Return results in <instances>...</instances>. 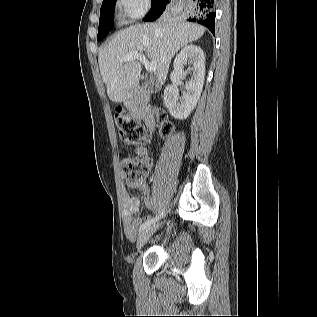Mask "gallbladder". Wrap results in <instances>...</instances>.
<instances>
[{
  "mask_svg": "<svg viewBox=\"0 0 317 317\" xmlns=\"http://www.w3.org/2000/svg\"><path fill=\"white\" fill-rule=\"evenodd\" d=\"M151 86V84H148L147 87L149 88Z\"/></svg>",
  "mask_w": 317,
  "mask_h": 317,
  "instance_id": "obj_1",
  "label": "gallbladder"
}]
</instances>
